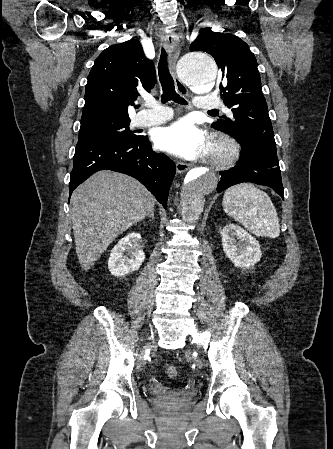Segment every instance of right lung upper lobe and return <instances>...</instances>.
<instances>
[{
    "mask_svg": "<svg viewBox=\"0 0 333 449\" xmlns=\"http://www.w3.org/2000/svg\"><path fill=\"white\" fill-rule=\"evenodd\" d=\"M155 82L154 64L138 40L105 49L88 75L80 128L130 120L128 106L140 96L137 88L150 91Z\"/></svg>",
    "mask_w": 333,
    "mask_h": 449,
    "instance_id": "right-lung-upper-lobe-1",
    "label": "right lung upper lobe"
}]
</instances>
